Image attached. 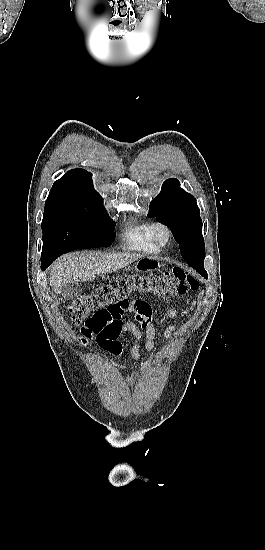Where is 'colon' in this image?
<instances>
[{
	"label": "colon",
	"instance_id": "5ec220e1",
	"mask_svg": "<svg viewBox=\"0 0 265 550\" xmlns=\"http://www.w3.org/2000/svg\"><path fill=\"white\" fill-rule=\"evenodd\" d=\"M198 287L199 281L181 268L149 274H124L78 297L70 304L69 312L74 325L85 323L99 340L112 338L118 327L115 321L127 311L134 313L141 326L145 324L141 307L147 303L130 301L128 298L132 294L172 298Z\"/></svg>",
	"mask_w": 265,
	"mask_h": 550
}]
</instances>
